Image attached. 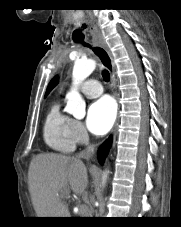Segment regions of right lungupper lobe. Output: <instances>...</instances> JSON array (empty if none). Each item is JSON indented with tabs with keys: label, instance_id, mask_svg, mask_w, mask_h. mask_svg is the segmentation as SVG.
<instances>
[{
	"label": "right lung upper lobe",
	"instance_id": "obj_1",
	"mask_svg": "<svg viewBox=\"0 0 181 227\" xmlns=\"http://www.w3.org/2000/svg\"><path fill=\"white\" fill-rule=\"evenodd\" d=\"M58 83V78L55 76L49 83L45 96L56 86Z\"/></svg>",
	"mask_w": 181,
	"mask_h": 227
}]
</instances>
